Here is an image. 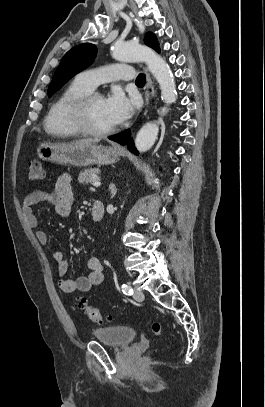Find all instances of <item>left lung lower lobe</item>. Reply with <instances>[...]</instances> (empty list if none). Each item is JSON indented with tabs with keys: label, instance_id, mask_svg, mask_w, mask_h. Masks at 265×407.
I'll list each match as a JSON object with an SVG mask.
<instances>
[{
	"label": "left lung lower lobe",
	"instance_id": "obj_1",
	"mask_svg": "<svg viewBox=\"0 0 265 407\" xmlns=\"http://www.w3.org/2000/svg\"><path fill=\"white\" fill-rule=\"evenodd\" d=\"M130 137H131L130 130H126L120 134L109 137V139L113 140L115 142H118L122 145L127 144L129 151H131L132 153L137 155L138 152H137L136 148L134 147V143Z\"/></svg>",
	"mask_w": 265,
	"mask_h": 407
}]
</instances>
